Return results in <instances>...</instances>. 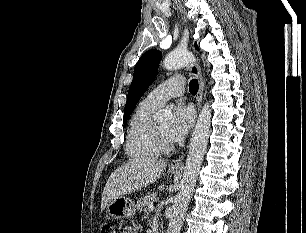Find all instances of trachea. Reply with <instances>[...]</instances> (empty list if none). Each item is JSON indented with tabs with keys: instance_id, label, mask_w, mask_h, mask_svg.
Listing matches in <instances>:
<instances>
[{
	"instance_id": "1",
	"label": "trachea",
	"mask_w": 306,
	"mask_h": 233,
	"mask_svg": "<svg viewBox=\"0 0 306 233\" xmlns=\"http://www.w3.org/2000/svg\"><path fill=\"white\" fill-rule=\"evenodd\" d=\"M198 81L196 79H193L189 83V91L192 94H196L198 91Z\"/></svg>"
}]
</instances>
